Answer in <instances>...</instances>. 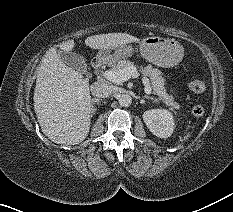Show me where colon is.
Here are the masks:
<instances>
[{"label":"colon","mask_w":233,"mask_h":212,"mask_svg":"<svg viewBox=\"0 0 233 212\" xmlns=\"http://www.w3.org/2000/svg\"><path fill=\"white\" fill-rule=\"evenodd\" d=\"M189 88L190 90H192L195 93H202L203 91H205L206 86L204 84V82L200 81V80H192L189 82ZM205 109L203 107V105L201 104H196L193 106L192 108V113L193 115L200 117L204 114Z\"/></svg>","instance_id":"1"}]
</instances>
